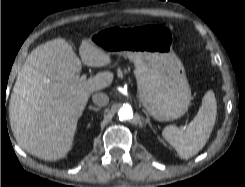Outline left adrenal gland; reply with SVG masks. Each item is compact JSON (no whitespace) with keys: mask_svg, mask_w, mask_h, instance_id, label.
Listing matches in <instances>:
<instances>
[{"mask_svg":"<svg viewBox=\"0 0 245 187\" xmlns=\"http://www.w3.org/2000/svg\"><path fill=\"white\" fill-rule=\"evenodd\" d=\"M143 112L146 114L145 124H148V125L152 128V124H151V122H150V119H149L147 113L145 112V110H143Z\"/></svg>","mask_w":245,"mask_h":187,"instance_id":"left-adrenal-gland-1","label":"left adrenal gland"}]
</instances>
